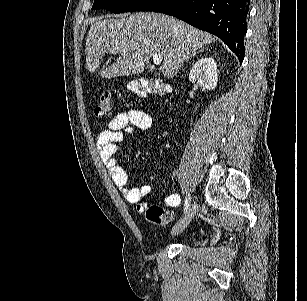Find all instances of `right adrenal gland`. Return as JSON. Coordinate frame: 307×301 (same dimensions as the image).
<instances>
[{"mask_svg":"<svg viewBox=\"0 0 307 301\" xmlns=\"http://www.w3.org/2000/svg\"><path fill=\"white\" fill-rule=\"evenodd\" d=\"M204 48H200V50H197V52H193V54H191V56H188V58H186L185 62H187V60H191V58H193V56H196V54H199V52H203Z\"/></svg>","mask_w":307,"mask_h":301,"instance_id":"obj_1","label":"right adrenal gland"}]
</instances>
